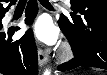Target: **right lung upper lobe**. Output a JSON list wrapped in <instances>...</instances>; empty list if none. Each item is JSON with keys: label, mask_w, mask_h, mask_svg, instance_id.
Returning <instances> with one entry per match:
<instances>
[{"label": "right lung upper lobe", "mask_w": 107, "mask_h": 75, "mask_svg": "<svg viewBox=\"0 0 107 75\" xmlns=\"http://www.w3.org/2000/svg\"><path fill=\"white\" fill-rule=\"evenodd\" d=\"M0 2H1V1H0ZM4 2L8 3L9 0H4ZM12 2H16V0H12L11 3H12ZM4 10H5V8L3 7L2 4H0V13H2Z\"/></svg>", "instance_id": "1"}]
</instances>
